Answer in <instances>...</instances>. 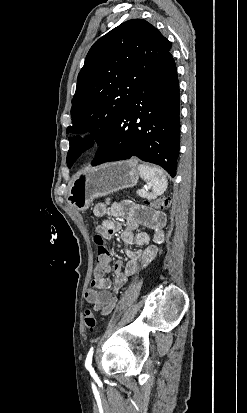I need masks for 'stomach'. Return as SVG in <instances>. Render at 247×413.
I'll return each instance as SVG.
<instances>
[{"instance_id": "1", "label": "stomach", "mask_w": 247, "mask_h": 413, "mask_svg": "<svg viewBox=\"0 0 247 413\" xmlns=\"http://www.w3.org/2000/svg\"><path fill=\"white\" fill-rule=\"evenodd\" d=\"M139 174L140 170L132 158L88 166L71 180L67 202L78 211H86L94 198L137 184Z\"/></svg>"}]
</instances>
